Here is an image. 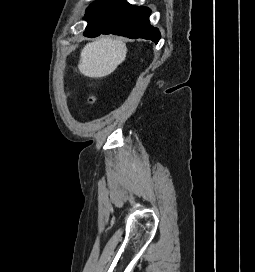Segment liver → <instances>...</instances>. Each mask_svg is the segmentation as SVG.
<instances>
[{"mask_svg": "<svg viewBox=\"0 0 255 272\" xmlns=\"http://www.w3.org/2000/svg\"><path fill=\"white\" fill-rule=\"evenodd\" d=\"M126 54L127 47L122 40L100 37L84 46L78 69L86 77H105L125 60Z\"/></svg>", "mask_w": 255, "mask_h": 272, "instance_id": "obj_1", "label": "liver"}]
</instances>
